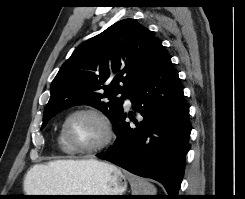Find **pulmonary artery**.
<instances>
[{
	"label": "pulmonary artery",
	"mask_w": 245,
	"mask_h": 199,
	"mask_svg": "<svg viewBox=\"0 0 245 199\" xmlns=\"http://www.w3.org/2000/svg\"><path fill=\"white\" fill-rule=\"evenodd\" d=\"M125 102H126V105H127V106H130V105H131V100H130L129 98H127V99L125 100Z\"/></svg>",
	"instance_id": "obj_1"
}]
</instances>
